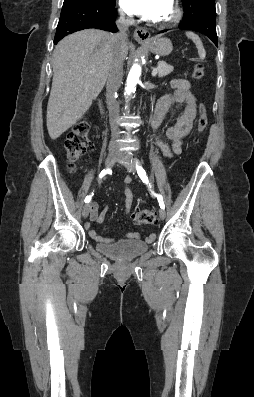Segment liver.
<instances>
[{"mask_svg":"<svg viewBox=\"0 0 254 397\" xmlns=\"http://www.w3.org/2000/svg\"><path fill=\"white\" fill-rule=\"evenodd\" d=\"M113 47V35L86 29L62 39L53 53V80L47 105V129L52 140L74 125L102 91ZM127 43L121 46L124 60Z\"/></svg>","mask_w":254,"mask_h":397,"instance_id":"obj_1","label":"liver"}]
</instances>
